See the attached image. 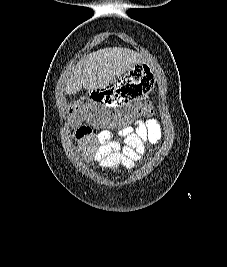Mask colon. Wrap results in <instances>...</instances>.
Wrapping results in <instances>:
<instances>
[{"mask_svg":"<svg viewBox=\"0 0 227 267\" xmlns=\"http://www.w3.org/2000/svg\"><path fill=\"white\" fill-rule=\"evenodd\" d=\"M97 106H102V104L75 102L70 107V118L74 124L87 120L96 127V130H108V125H110V130H123V125H133V120L124 119H139V116L158 115V110H150L153 109L150 104L129 105L127 110H113V114H110V110H98Z\"/></svg>","mask_w":227,"mask_h":267,"instance_id":"5ec220e1","label":"colon"}]
</instances>
